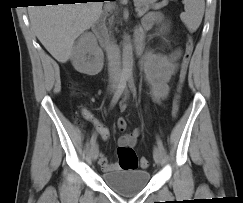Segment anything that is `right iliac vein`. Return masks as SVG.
I'll return each mask as SVG.
<instances>
[{
    "instance_id": "obj_1",
    "label": "right iliac vein",
    "mask_w": 243,
    "mask_h": 203,
    "mask_svg": "<svg viewBox=\"0 0 243 203\" xmlns=\"http://www.w3.org/2000/svg\"><path fill=\"white\" fill-rule=\"evenodd\" d=\"M98 152H99V150H98V146H97L96 144H94V145L92 146V148H91V152H90L91 159H92L93 161H95V160L97 159V157H98Z\"/></svg>"
}]
</instances>
